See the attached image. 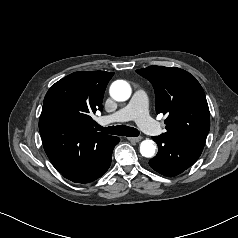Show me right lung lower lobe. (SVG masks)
<instances>
[{"label": "right lung lower lobe", "mask_w": 238, "mask_h": 238, "mask_svg": "<svg viewBox=\"0 0 238 238\" xmlns=\"http://www.w3.org/2000/svg\"><path fill=\"white\" fill-rule=\"evenodd\" d=\"M120 139L111 136L100 144L89 160L61 174L76 183H89L101 177L110 167L112 151Z\"/></svg>", "instance_id": "right-lung-lower-lobe-1"}]
</instances>
